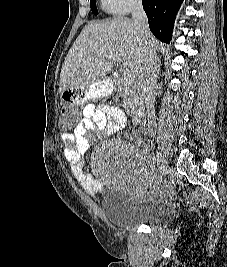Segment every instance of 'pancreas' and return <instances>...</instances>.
I'll return each instance as SVG.
<instances>
[{
  "label": "pancreas",
  "instance_id": "pancreas-1",
  "mask_svg": "<svg viewBox=\"0 0 227 267\" xmlns=\"http://www.w3.org/2000/svg\"><path fill=\"white\" fill-rule=\"evenodd\" d=\"M123 106L127 111H133L138 105V92L130 84L124 82Z\"/></svg>",
  "mask_w": 227,
  "mask_h": 267
}]
</instances>
